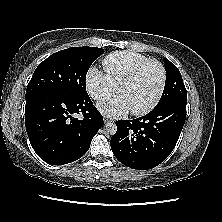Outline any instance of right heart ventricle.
Here are the masks:
<instances>
[{"label":"right heart ventricle","instance_id":"right-heart-ventricle-1","mask_svg":"<svg viewBox=\"0 0 222 222\" xmlns=\"http://www.w3.org/2000/svg\"><path fill=\"white\" fill-rule=\"evenodd\" d=\"M148 59L139 53L118 51L106 56L102 64L106 74L117 87L136 66Z\"/></svg>","mask_w":222,"mask_h":222}]
</instances>
